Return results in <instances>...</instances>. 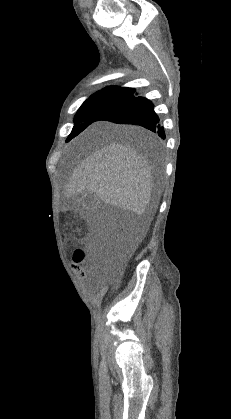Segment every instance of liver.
<instances>
[{"mask_svg":"<svg viewBox=\"0 0 231 419\" xmlns=\"http://www.w3.org/2000/svg\"><path fill=\"white\" fill-rule=\"evenodd\" d=\"M116 131L156 142L155 137L135 126H115ZM151 168L146 157L128 145L111 142L78 165L65 186L66 197L91 194L102 202L144 217L138 241L146 234L157 205L151 203L153 187Z\"/></svg>","mask_w":231,"mask_h":419,"instance_id":"liver-1","label":"liver"}]
</instances>
